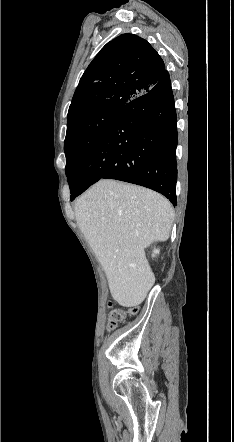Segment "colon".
<instances>
[{"label": "colon", "mask_w": 234, "mask_h": 442, "mask_svg": "<svg viewBox=\"0 0 234 442\" xmlns=\"http://www.w3.org/2000/svg\"><path fill=\"white\" fill-rule=\"evenodd\" d=\"M137 308H131L128 310L123 309H113L110 312L109 321H108V328L110 330L114 329L119 322H121L125 316L127 315H135L137 313Z\"/></svg>", "instance_id": "obj_1"}]
</instances>
